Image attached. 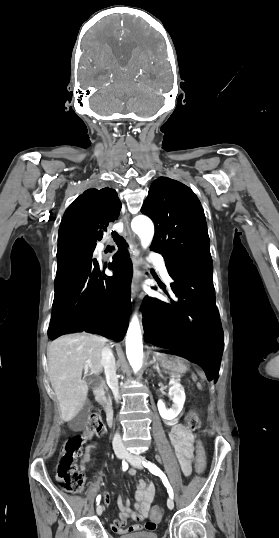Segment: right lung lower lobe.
I'll return each mask as SVG.
<instances>
[{
	"label": "right lung lower lobe",
	"mask_w": 279,
	"mask_h": 538,
	"mask_svg": "<svg viewBox=\"0 0 279 538\" xmlns=\"http://www.w3.org/2000/svg\"><path fill=\"white\" fill-rule=\"evenodd\" d=\"M121 202L114 189H88L66 210L58 231L57 274L49 338L73 332H95L122 338L131 306L132 262L127 248L112 232L118 251L101 271L92 253L96 241L117 219ZM104 266L103 269H105Z\"/></svg>",
	"instance_id": "right-lung-lower-lobe-1"
}]
</instances>
